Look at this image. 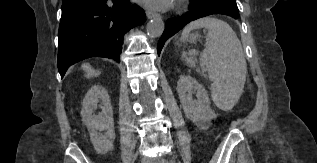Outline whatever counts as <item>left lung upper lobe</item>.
Returning <instances> with one entry per match:
<instances>
[{
    "mask_svg": "<svg viewBox=\"0 0 317 163\" xmlns=\"http://www.w3.org/2000/svg\"><path fill=\"white\" fill-rule=\"evenodd\" d=\"M191 1H202L205 6H219L227 8L236 12H239L236 0H191Z\"/></svg>",
    "mask_w": 317,
    "mask_h": 163,
    "instance_id": "left-lung-upper-lobe-1",
    "label": "left lung upper lobe"
}]
</instances>
